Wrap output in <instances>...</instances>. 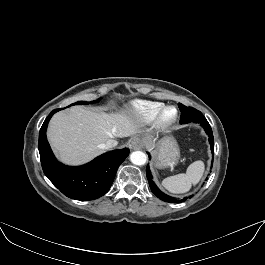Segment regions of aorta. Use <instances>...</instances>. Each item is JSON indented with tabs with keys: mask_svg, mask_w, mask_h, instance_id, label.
Here are the masks:
<instances>
[{
	"mask_svg": "<svg viewBox=\"0 0 265 265\" xmlns=\"http://www.w3.org/2000/svg\"><path fill=\"white\" fill-rule=\"evenodd\" d=\"M130 160L133 164L141 166L147 162V156L142 151H135L131 153Z\"/></svg>",
	"mask_w": 265,
	"mask_h": 265,
	"instance_id": "aorta-1",
	"label": "aorta"
}]
</instances>
